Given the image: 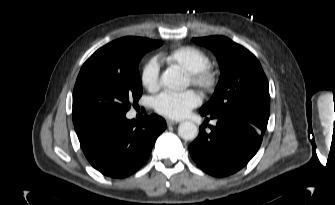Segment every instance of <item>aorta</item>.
<instances>
[{"mask_svg":"<svg viewBox=\"0 0 335 205\" xmlns=\"http://www.w3.org/2000/svg\"><path fill=\"white\" fill-rule=\"evenodd\" d=\"M161 82L169 89H183L186 87V80L181 75L179 70L174 67L168 68L161 76ZM178 134L184 140H193L198 135L197 126L190 121H185L179 124Z\"/></svg>","mask_w":335,"mask_h":205,"instance_id":"762f6f07","label":"aorta"}]
</instances>
